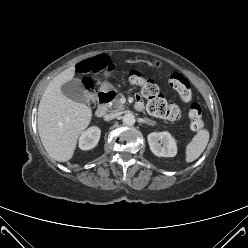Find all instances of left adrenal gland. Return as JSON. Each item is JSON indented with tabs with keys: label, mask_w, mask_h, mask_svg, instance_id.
Instances as JSON below:
<instances>
[{
	"label": "left adrenal gland",
	"mask_w": 248,
	"mask_h": 248,
	"mask_svg": "<svg viewBox=\"0 0 248 248\" xmlns=\"http://www.w3.org/2000/svg\"><path fill=\"white\" fill-rule=\"evenodd\" d=\"M145 120H147V121H149V122H152L150 119H148V118H145Z\"/></svg>",
	"instance_id": "a2214340"
}]
</instances>
